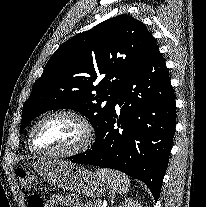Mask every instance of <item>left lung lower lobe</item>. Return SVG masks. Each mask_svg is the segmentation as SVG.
Wrapping results in <instances>:
<instances>
[{"mask_svg":"<svg viewBox=\"0 0 206 207\" xmlns=\"http://www.w3.org/2000/svg\"><path fill=\"white\" fill-rule=\"evenodd\" d=\"M175 123L174 91L157 47L117 92L112 113L91 149L72 156L71 162L122 171L143 181L157 201Z\"/></svg>","mask_w":206,"mask_h":207,"instance_id":"0a47b994","label":"left lung lower lobe"}]
</instances>
